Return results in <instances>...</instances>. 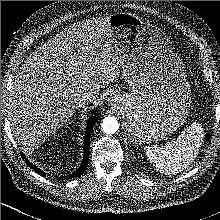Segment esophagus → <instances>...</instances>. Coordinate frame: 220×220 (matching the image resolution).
Wrapping results in <instances>:
<instances>
[{
  "instance_id": "esophagus-1",
  "label": "esophagus",
  "mask_w": 220,
  "mask_h": 220,
  "mask_svg": "<svg viewBox=\"0 0 220 220\" xmlns=\"http://www.w3.org/2000/svg\"><path fill=\"white\" fill-rule=\"evenodd\" d=\"M109 103L110 105H116V103L119 101V98H117L116 96H112L109 98Z\"/></svg>"
}]
</instances>
